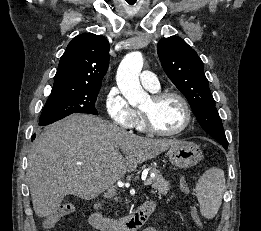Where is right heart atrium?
<instances>
[{
    "label": "right heart atrium",
    "instance_id": "right-heart-atrium-1",
    "mask_svg": "<svg viewBox=\"0 0 261 231\" xmlns=\"http://www.w3.org/2000/svg\"><path fill=\"white\" fill-rule=\"evenodd\" d=\"M105 108L111 121L125 130H131L137 122V111L132 108L117 87H112L105 99Z\"/></svg>",
    "mask_w": 261,
    "mask_h": 231
}]
</instances>
